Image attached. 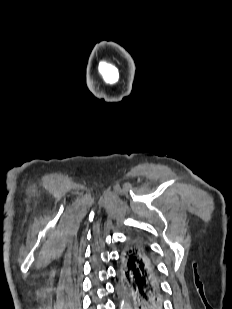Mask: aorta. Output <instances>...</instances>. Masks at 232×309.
<instances>
[{
	"label": "aorta",
	"mask_w": 232,
	"mask_h": 309,
	"mask_svg": "<svg viewBox=\"0 0 232 309\" xmlns=\"http://www.w3.org/2000/svg\"><path fill=\"white\" fill-rule=\"evenodd\" d=\"M121 309H132V308L129 306L128 303L122 302V304H121Z\"/></svg>",
	"instance_id": "762f6f07"
}]
</instances>
